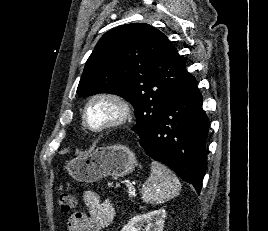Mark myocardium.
Segmentation results:
<instances>
[{"label":"myocardium","instance_id":"obj_1","mask_svg":"<svg viewBox=\"0 0 268 231\" xmlns=\"http://www.w3.org/2000/svg\"><path fill=\"white\" fill-rule=\"evenodd\" d=\"M101 100L114 103L117 107V115L102 125L93 126L88 121V109L94 102ZM131 117L132 108L129 101L122 95L115 92H98L93 94L86 101L82 112L83 125L93 133H103L112 129L119 128L125 125L131 119Z\"/></svg>","mask_w":268,"mask_h":231}]
</instances>
